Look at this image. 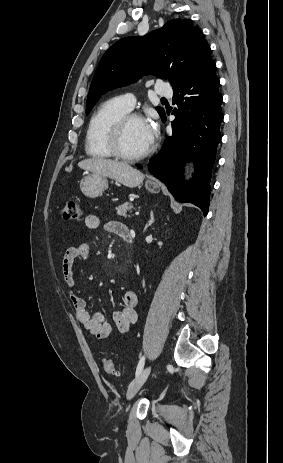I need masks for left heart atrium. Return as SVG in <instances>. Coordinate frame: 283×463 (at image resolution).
I'll return each mask as SVG.
<instances>
[{"mask_svg":"<svg viewBox=\"0 0 283 463\" xmlns=\"http://www.w3.org/2000/svg\"><path fill=\"white\" fill-rule=\"evenodd\" d=\"M146 127H147V132H148V137H149V142L152 144L158 134L157 127L154 122L147 121L146 122Z\"/></svg>","mask_w":283,"mask_h":463,"instance_id":"obj_1","label":"left heart atrium"}]
</instances>
